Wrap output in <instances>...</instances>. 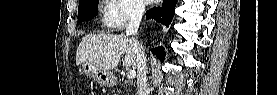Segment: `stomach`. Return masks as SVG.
<instances>
[{"label": "stomach", "mask_w": 277, "mask_h": 95, "mask_svg": "<svg viewBox=\"0 0 277 95\" xmlns=\"http://www.w3.org/2000/svg\"><path fill=\"white\" fill-rule=\"evenodd\" d=\"M82 67L84 73L93 80L97 81L100 85L113 86L115 84V78L112 72L104 70L96 64L90 62H83Z\"/></svg>", "instance_id": "1"}]
</instances>
